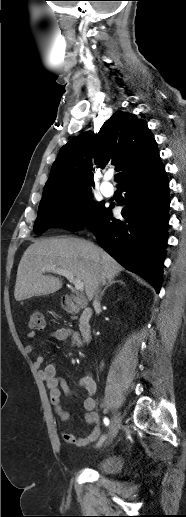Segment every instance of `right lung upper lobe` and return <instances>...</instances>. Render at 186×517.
Instances as JSON below:
<instances>
[{"mask_svg": "<svg viewBox=\"0 0 186 517\" xmlns=\"http://www.w3.org/2000/svg\"><path fill=\"white\" fill-rule=\"evenodd\" d=\"M98 167L120 164L124 183L160 162L158 148L147 123L133 114L117 111L99 133L84 132L65 144L45 184L42 200L90 190L93 184L91 159Z\"/></svg>", "mask_w": 186, "mask_h": 517, "instance_id": "obj_1", "label": "right lung upper lobe"}]
</instances>
